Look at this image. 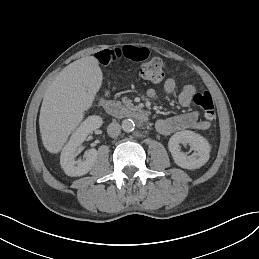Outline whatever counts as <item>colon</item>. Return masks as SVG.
<instances>
[{
	"instance_id": "1",
	"label": "colon",
	"mask_w": 259,
	"mask_h": 259,
	"mask_svg": "<svg viewBox=\"0 0 259 259\" xmlns=\"http://www.w3.org/2000/svg\"><path fill=\"white\" fill-rule=\"evenodd\" d=\"M139 75L145 81L153 84L162 82L165 77L163 61L160 58H153L146 61L140 66ZM193 100L203 110L207 120L213 121L215 119L214 102L209 92L197 93Z\"/></svg>"
}]
</instances>
